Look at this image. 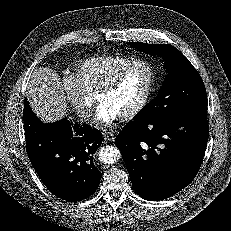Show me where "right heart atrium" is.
Listing matches in <instances>:
<instances>
[{
    "label": "right heart atrium",
    "mask_w": 231,
    "mask_h": 231,
    "mask_svg": "<svg viewBox=\"0 0 231 231\" xmlns=\"http://www.w3.org/2000/svg\"><path fill=\"white\" fill-rule=\"evenodd\" d=\"M59 92L73 106L81 120L88 121L90 119L93 102L73 74L61 77Z\"/></svg>",
    "instance_id": "d8ad5b80"
}]
</instances>
